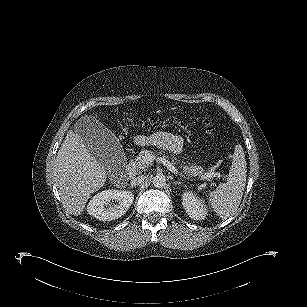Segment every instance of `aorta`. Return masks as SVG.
Instances as JSON below:
<instances>
[{"instance_id":"762f6f07","label":"aorta","mask_w":307,"mask_h":307,"mask_svg":"<svg viewBox=\"0 0 307 307\" xmlns=\"http://www.w3.org/2000/svg\"><path fill=\"white\" fill-rule=\"evenodd\" d=\"M152 183L156 188H163L166 185V178L164 175H156L153 177Z\"/></svg>"}]
</instances>
